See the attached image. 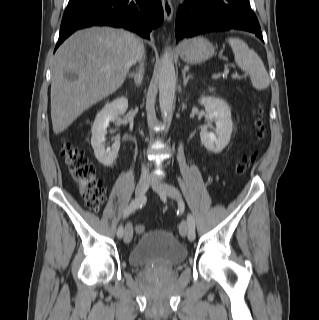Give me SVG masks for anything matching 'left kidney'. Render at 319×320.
Listing matches in <instances>:
<instances>
[{
  "mask_svg": "<svg viewBox=\"0 0 319 320\" xmlns=\"http://www.w3.org/2000/svg\"><path fill=\"white\" fill-rule=\"evenodd\" d=\"M199 103L205 107L206 119L216 125L214 132L208 131L206 127L201 129V142L208 151L220 153L231 138L233 129L231 110L224 100L212 96H203Z\"/></svg>",
  "mask_w": 319,
  "mask_h": 320,
  "instance_id": "obj_1",
  "label": "left kidney"
}]
</instances>
